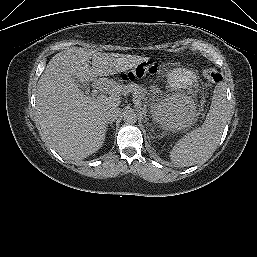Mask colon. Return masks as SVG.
Returning <instances> with one entry per match:
<instances>
[{"label":"colon","mask_w":257,"mask_h":257,"mask_svg":"<svg viewBox=\"0 0 257 257\" xmlns=\"http://www.w3.org/2000/svg\"><path fill=\"white\" fill-rule=\"evenodd\" d=\"M156 71H157V67L155 63L148 61V62L141 63L138 66L125 72L123 74V78L125 80L133 81L136 79H142L147 76L153 75L154 73H156ZM204 76L209 83H219L222 81L221 74L213 68H209L205 70Z\"/></svg>","instance_id":"5ec220e1"}]
</instances>
